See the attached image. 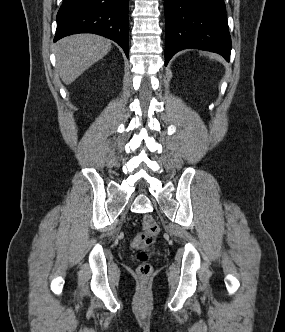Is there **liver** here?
I'll use <instances>...</instances> for the list:
<instances>
[{
  "instance_id": "1",
  "label": "liver",
  "mask_w": 285,
  "mask_h": 332,
  "mask_svg": "<svg viewBox=\"0 0 285 332\" xmlns=\"http://www.w3.org/2000/svg\"><path fill=\"white\" fill-rule=\"evenodd\" d=\"M111 41L94 34H76L65 37L55 46L56 70L69 85L85 70L109 53Z\"/></svg>"
}]
</instances>
